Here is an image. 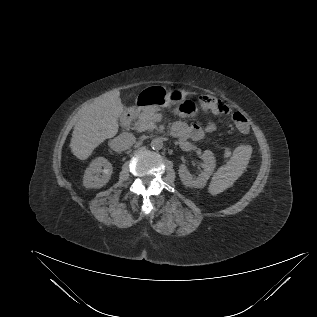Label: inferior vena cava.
<instances>
[{
    "mask_svg": "<svg viewBox=\"0 0 317 317\" xmlns=\"http://www.w3.org/2000/svg\"><path fill=\"white\" fill-rule=\"evenodd\" d=\"M136 138L131 133H122L110 142V147L116 152L126 151L133 146Z\"/></svg>",
    "mask_w": 317,
    "mask_h": 317,
    "instance_id": "inferior-vena-cava-1",
    "label": "inferior vena cava"
}]
</instances>
